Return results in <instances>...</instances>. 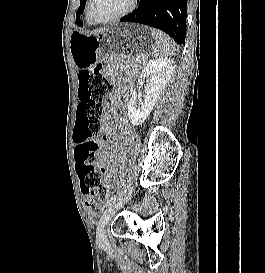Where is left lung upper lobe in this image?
<instances>
[{"label": "left lung upper lobe", "mask_w": 265, "mask_h": 273, "mask_svg": "<svg viewBox=\"0 0 265 273\" xmlns=\"http://www.w3.org/2000/svg\"><path fill=\"white\" fill-rule=\"evenodd\" d=\"M85 2H86V0H80V7H79V9H78V11L76 13V18H77L76 24L78 26H82V22L78 18L80 16V14L83 13V10H84V7H85Z\"/></svg>", "instance_id": "5c2ea615"}]
</instances>
